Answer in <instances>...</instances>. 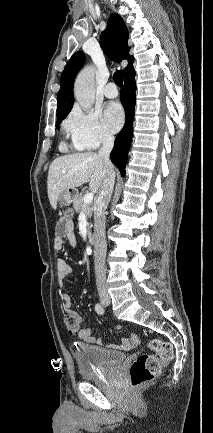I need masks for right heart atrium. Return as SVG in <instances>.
I'll return each mask as SVG.
<instances>
[{
    "label": "right heart atrium",
    "mask_w": 213,
    "mask_h": 433,
    "mask_svg": "<svg viewBox=\"0 0 213 433\" xmlns=\"http://www.w3.org/2000/svg\"><path fill=\"white\" fill-rule=\"evenodd\" d=\"M64 129L77 149H96L113 140L97 112L75 107L64 121Z\"/></svg>",
    "instance_id": "right-heart-atrium-1"
}]
</instances>
